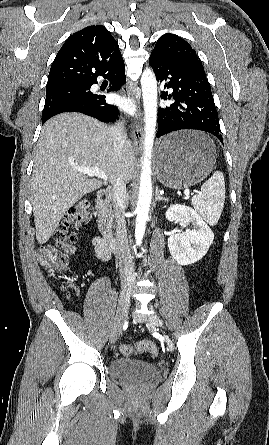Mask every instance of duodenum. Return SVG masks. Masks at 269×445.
<instances>
[{
	"instance_id": "duodenum-1",
	"label": "duodenum",
	"mask_w": 269,
	"mask_h": 445,
	"mask_svg": "<svg viewBox=\"0 0 269 445\" xmlns=\"http://www.w3.org/2000/svg\"><path fill=\"white\" fill-rule=\"evenodd\" d=\"M109 197L110 194L106 190L97 192L95 199V218L107 249L111 252H115L117 250V241L113 235L105 212Z\"/></svg>"
}]
</instances>
